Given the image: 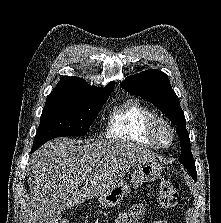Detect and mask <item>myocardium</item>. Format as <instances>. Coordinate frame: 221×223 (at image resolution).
Listing matches in <instances>:
<instances>
[{
  "mask_svg": "<svg viewBox=\"0 0 221 223\" xmlns=\"http://www.w3.org/2000/svg\"><path fill=\"white\" fill-rule=\"evenodd\" d=\"M160 128H164L168 131L170 136L168 142H163L159 138L158 133ZM145 135L155 146L165 149L172 145L175 138V131L168 119L155 115L148 121L145 129Z\"/></svg>",
  "mask_w": 221,
  "mask_h": 223,
  "instance_id": "f54148a6",
  "label": "myocardium"
}]
</instances>
